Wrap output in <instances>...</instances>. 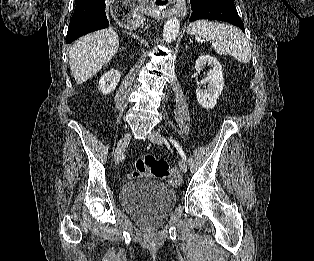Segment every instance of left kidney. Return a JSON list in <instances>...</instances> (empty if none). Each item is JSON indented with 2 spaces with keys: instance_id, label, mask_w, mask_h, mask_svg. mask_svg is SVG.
<instances>
[{
  "instance_id": "5707ae66",
  "label": "left kidney",
  "mask_w": 314,
  "mask_h": 261,
  "mask_svg": "<svg viewBox=\"0 0 314 261\" xmlns=\"http://www.w3.org/2000/svg\"><path fill=\"white\" fill-rule=\"evenodd\" d=\"M205 65L212 67V70L206 78L200 81V86L196 89L197 101L205 109H212L217 103V98L224 88L223 71L219 61L211 55H201L195 63V69L199 73ZM208 84L206 90L201 85Z\"/></svg>"
}]
</instances>
